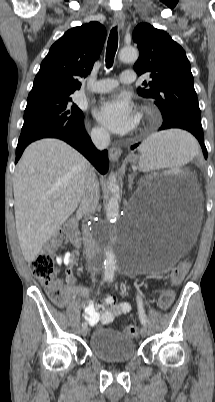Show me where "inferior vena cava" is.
<instances>
[{
  "label": "inferior vena cava",
  "mask_w": 215,
  "mask_h": 402,
  "mask_svg": "<svg viewBox=\"0 0 215 402\" xmlns=\"http://www.w3.org/2000/svg\"><path fill=\"white\" fill-rule=\"evenodd\" d=\"M92 141L98 149L102 150L108 147L110 143V135L106 130L100 129L92 133ZM99 194V183L94 169H92L87 175L84 192L79 206V211L85 216V218L94 214L97 210ZM94 232L97 233L96 230ZM83 241L88 268L94 277L95 268L93 266V259L96 255L98 246L87 225H83Z\"/></svg>",
  "instance_id": "obj_1"
}]
</instances>
